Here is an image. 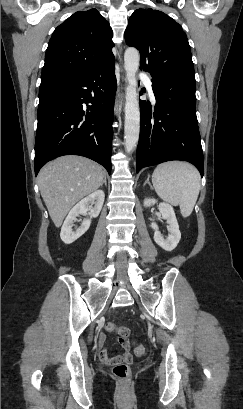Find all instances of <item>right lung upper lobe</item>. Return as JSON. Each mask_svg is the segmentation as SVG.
<instances>
[{
	"label": "right lung upper lobe",
	"instance_id": "cb5924a9",
	"mask_svg": "<svg viewBox=\"0 0 243 409\" xmlns=\"http://www.w3.org/2000/svg\"><path fill=\"white\" fill-rule=\"evenodd\" d=\"M112 29L96 10L78 11L52 34L41 80H68L114 62Z\"/></svg>",
	"mask_w": 243,
	"mask_h": 409
}]
</instances>
